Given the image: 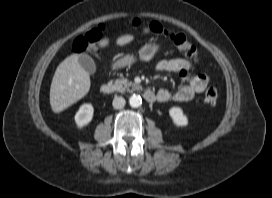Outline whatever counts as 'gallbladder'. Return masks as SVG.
Returning <instances> with one entry per match:
<instances>
[{"instance_id":"bac80fb5","label":"gallbladder","mask_w":272,"mask_h":198,"mask_svg":"<svg viewBox=\"0 0 272 198\" xmlns=\"http://www.w3.org/2000/svg\"><path fill=\"white\" fill-rule=\"evenodd\" d=\"M79 63L89 74H94L96 72L95 61L89 55L82 54L79 57Z\"/></svg>"}]
</instances>
